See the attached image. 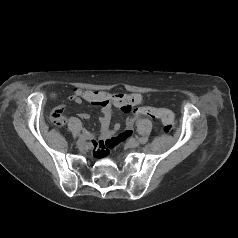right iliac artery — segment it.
Segmentation results:
<instances>
[{
    "mask_svg": "<svg viewBox=\"0 0 238 238\" xmlns=\"http://www.w3.org/2000/svg\"><path fill=\"white\" fill-rule=\"evenodd\" d=\"M91 134H89L88 132H83L79 135L80 139H88L90 138Z\"/></svg>",
    "mask_w": 238,
    "mask_h": 238,
    "instance_id": "82829eb1",
    "label": "right iliac artery"
}]
</instances>
